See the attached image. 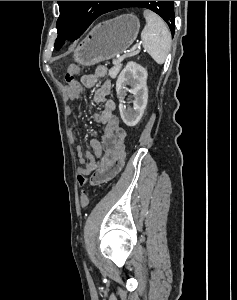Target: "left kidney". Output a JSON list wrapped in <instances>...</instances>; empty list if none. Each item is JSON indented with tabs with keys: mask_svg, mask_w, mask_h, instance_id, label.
<instances>
[{
	"mask_svg": "<svg viewBox=\"0 0 237 300\" xmlns=\"http://www.w3.org/2000/svg\"><path fill=\"white\" fill-rule=\"evenodd\" d=\"M147 77L148 73L144 67L129 61L117 79L116 93L120 103V117L127 127H135L143 117L148 101ZM126 85H130L131 89H127ZM127 93L132 95L133 107L123 105Z\"/></svg>",
	"mask_w": 237,
	"mask_h": 300,
	"instance_id": "left-kidney-1",
	"label": "left kidney"
}]
</instances>
